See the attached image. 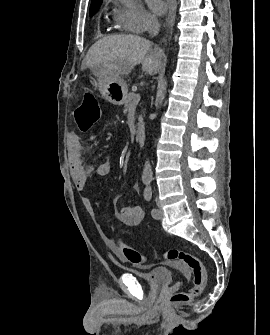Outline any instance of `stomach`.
Listing matches in <instances>:
<instances>
[{
	"label": "stomach",
	"instance_id": "0dacf381",
	"mask_svg": "<svg viewBox=\"0 0 270 335\" xmlns=\"http://www.w3.org/2000/svg\"><path fill=\"white\" fill-rule=\"evenodd\" d=\"M98 76V92L101 94V98L115 104V106H121L126 102L128 88L124 80H116V70L114 67H99Z\"/></svg>",
	"mask_w": 270,
	"mask_h": 335
}]
</instances>
